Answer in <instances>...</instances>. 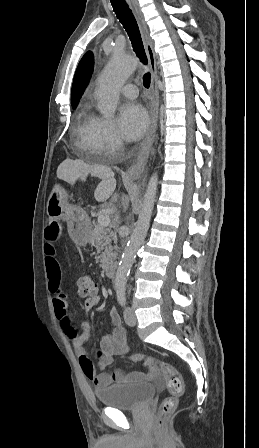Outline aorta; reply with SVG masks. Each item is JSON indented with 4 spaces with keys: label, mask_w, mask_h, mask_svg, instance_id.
<instances>
[{
    "label": "aorta",
    "mask_w": 259,
    "mask_h": 448,
    "mask_svg": "<svg viewBox=\"0 0 259 448\" xmlns=\"http://www.w3.org/2000/svg\"><path fill=\"white\" fill-rule=\"evenodd\" d=\"M137 68V60L126 54L115 55L106 65L99 77L96 97L98 109L105 118H112L120 95V88L126 79ZM158 185V175L154 173L147 185L141 211L136 226L124 249L117 268L115 287L119 294L125 291L127 278L138 249L142 246L147 235L154 208Z\"/></svg>",
    "instance_id": "762f6f07"
}]
</instances>
